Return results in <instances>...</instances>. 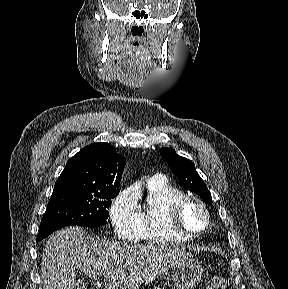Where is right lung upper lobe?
<instances>
[{"label": "right lung upper lobe", "instance_id": "obj_1", "mask_svg": "<svg viewBox=\"0 0 288 289\" xmlns=\"http://www.w3.org/2000/svg\"><path fill=\"white\" fill-rule=\"evenodd\" d=\"M124 166L125 158L110 144H90L68 160L53 192L119 190Z\"/></svg>", "mask_w": 288, "mask_h": 289}]
</instances>
